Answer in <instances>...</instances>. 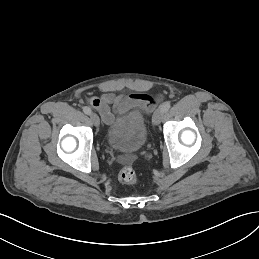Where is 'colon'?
<instances>
[{
    "mask_svg": "<svg viewBox=\"0 0 259 259\" xmlns=\"http://www.w3.org/2000/svg\"><path fill=\"white\" fill-rule=\"evenodd\" d=\"M118 178L122 183L134 184L138 180V174L133 168L125 167L119 172Z\"/></svg>",
    "mask_w": 259,
    "mask_h": 259,
    "instance_id": "colon-1",
    "label": "colon"
}]
</instances>
